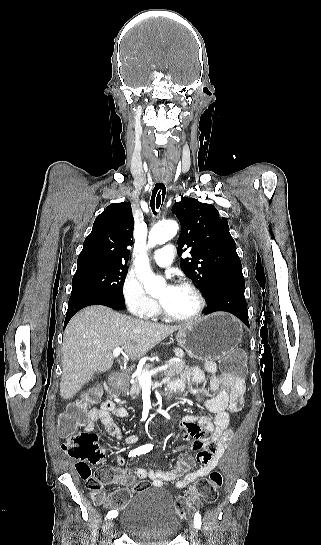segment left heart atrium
I'll list each match as a JSON object with an SVG mask.
<instances>
[{"mask_svg":"<svg viewBox=\"0 0 321 545\" xmlns=\"http://www.w3.org/2000/svg\"><path fill=\"white\" fill-rule=\"evenodd\" d=\"M174 288H175L174 286H169L170 291H173Z\"/></svg>","mask_w":321,"mask_h":545,"instance_id":"left-heart-atrium-1","label":"left heart atrium"}]
</instances>
